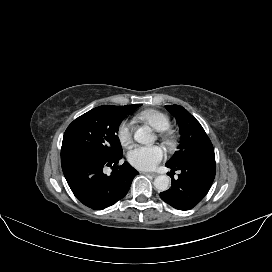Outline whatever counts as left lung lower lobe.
Wrapping results in <instances>:
<instances>
[{"mask_svg": "<svg viewBox=\"0 0 272 272\" xmlns=\"http://www.w3.org/2000/svg\"><path fill=\"white\" fill-rule=\"evenodd\" d=\"M171 168V172L180 170L178 179L171 176L172 186L161 192L163 201L179 210L195 207L208 193L216 171L215 154L207 152L190 158L180 165Z\"/></svg>", "mask_w": 272, "mask_h": 272, "instance_id": "0a47b994", "label": "left lung lower lobe"}]
</instances>
